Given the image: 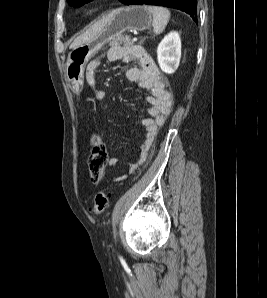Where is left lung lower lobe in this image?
I'll return each mask as SVG.
<instances>
[{
  "label": "left lung lower lobe",
  "instance_id": "left-lung-lower-lobe-1",
  "mask_svg": "<svg viewBox=\"0 0 267 298\" xmlns=\"http://www.w3.org/2000/svg\"><path fill=\"white\" fill-rule=\"evenodd\" d=\"M126 5H159L170 8L179 9L190 14L192 19L197 23V0H127L124 2Z\"/></svg>",
  "mask_w": 267,
  "mask_h": 298
}]
</instances>
